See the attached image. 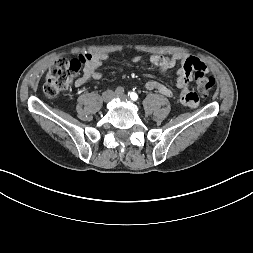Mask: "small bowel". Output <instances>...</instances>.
Wrapping results in <instances>:
<instances>
[{
  "instance_id": "c3829d8e",
  "label": "small bowel",
  "mask_w": 253,
  "mask_h": 253,
  "mask_svg": "<svg viewBox=\"0 0 253 253\" xmlns=\"http://www.w3.org/2000/svg\"><path fill=\"white\" fill-rule=\"evenodd\" d=\"M89 55L90 58L87 60L83 74L75 81L77 87L83 86L90 80L102 78V74L98 69L108 59V55L105 53H93ZM141 59V56L137 55L132 58V62L138 63ZM188 59L184 54H176L172 57L152 55L150 63L157 67L161 73H166L169 69L174 68L180 63L176 80V85L181 90L179 99L187 108L197 111L201 107L200 96L198 93L189 90L192 69L186 64ZM145 88L149 91L156 90L165 97H173L174 95L171 88L157 80H148L145 83Z\"/></svg>"
}]
</instances>
